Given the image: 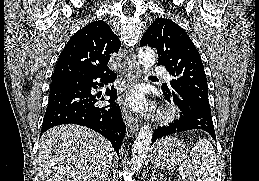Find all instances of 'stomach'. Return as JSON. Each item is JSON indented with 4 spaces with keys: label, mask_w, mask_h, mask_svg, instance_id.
<instances>
[{
    "label": "stomach",
    "mask_w": 259,
    "mask_h": 181,
    "mask_svg": "<svg viewBox=\"0 0 259 181\" xmlns=\"http://www.w3.org/2000/svg\"><path fill=\"white\" fill-rule=\"evenodd\" d=\"M185 145L175 137L160 139L152 150L151 160L156 167L173 169L187 157Z\"/></svg>",
    "instance_id": "1"
}]
</instances>
